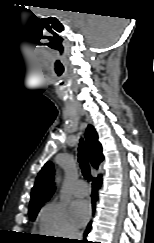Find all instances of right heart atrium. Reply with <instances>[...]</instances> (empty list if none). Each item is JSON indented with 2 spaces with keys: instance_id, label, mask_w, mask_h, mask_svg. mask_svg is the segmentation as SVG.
<instances>
[{
  "instance_id": "obj_1",
  "label": "right heart atrium",
  "mask_w": 154,
  "mask_h": 243,
  "mask_svg": "<svg viewBox=\"0 0 154 243\" xmlns=\"http://www.w3.org/2000/svg\"><path fill=\"white\" fill-rule=\"evenodd\" d=\"M39 231L45 235L58 238L77 236V230L71 224L65 206L57 202H49L39 212Z\"/></svg>"
}]
</instances>
